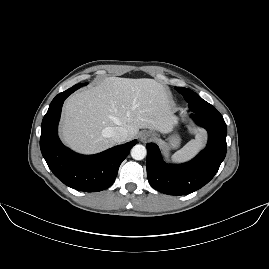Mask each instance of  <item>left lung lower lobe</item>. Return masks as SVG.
<instances>
[{
    "mask_svg": "<svg viewBox=\"0 0 269 269\" xmlns=\"http://www.w3.org/2000/svg\"><path fill=\"white\" fill-rule=\"evenodd\" d=\"M191 117L209 134L207 147L191 161L172 165L162 160L154 143H147V177L150 185L168 195H187L207 184L218 171L227 151V126L217 111H197Z\"/></svg>",
    "mask_w": 269,
    "mask_h": 269,
    "instance_id": "0a47b994",
    "label": "left lung lower lobe"
}]
</instances>
